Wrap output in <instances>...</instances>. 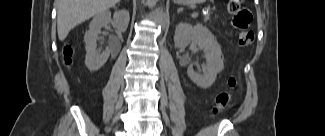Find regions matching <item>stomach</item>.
<instances>
[{
  "instance_id": "0dacf381",
  "label": "stomach",
  "mask_w": 325,
  "mask_h": 136,
  "mask_svg": "<svg viewBox=\"0 0 325 136\" xmlns=\"http://www.w3.org/2000/svg\"><path fill=\"white\" fill-rule=\"evenodd\" d=\"M175 2L182 5H193L204 1L203 0H175Z\"/></svg>"
}]
</instances>
